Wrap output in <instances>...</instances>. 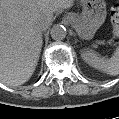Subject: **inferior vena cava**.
<instances>
[{
	"label": "inferior vena cava",
	"mask_w": 119,
	"mask_h": 119,
	"mask_svg": "<svg viewBox=\"0 0 119 119\" xmlns=\"http://www.w3.org/2000/svg\"><path fill=\"white\" fill-rule=\"evenodd\" d=\"M37 30H38V32H43L44 30H46V26L45 25H39L38 27H37Z\"/></svg>",
	"instance_id": "602c4592"
}]
</instances>
